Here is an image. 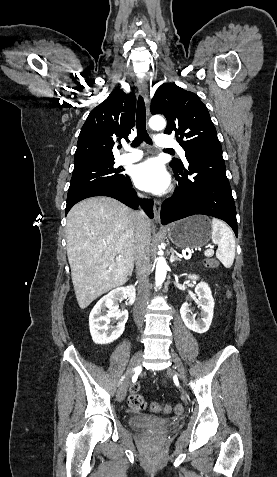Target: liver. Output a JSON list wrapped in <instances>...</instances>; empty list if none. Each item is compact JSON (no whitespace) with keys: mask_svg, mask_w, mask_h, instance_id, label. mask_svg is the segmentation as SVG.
<instances>
[{"mask_svg":"<svg viewBox=\"0 0 277 477\" xmlns=\"http://www.w3.org/2000/svg\"><path fill=\"white\" fill-rule=\"evenodd\" d=\"M149 236L151 225H148ZM67 256L78 305L125 284L134 268L135 212L110 197H93L67 215Z\"/></svg>","mask_w":277,"mask_h":477,"instance_id":"liver-1","label":"liver"}]
</instances>
